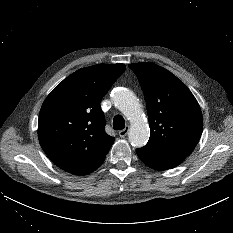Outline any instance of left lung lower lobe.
<instances>
[{
    "label": "left lung lower lobe",
    "mask_w": 233,
    "mask_h": 233,
    "mask_svg": "<svg viewBox=\"0 0 233 233\" xmlns=\"http://www.w3.org/2000/svg\"><path fill=\"white\" fill-rule=\"evenodd\" d=\"M140 160L147 166L156 170H167L178 166L185 159L183 156L163 154L147 148L136 150Z\"/></svg>",
    "instance_id": "1"
}]
</instances>
